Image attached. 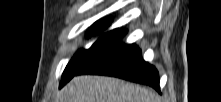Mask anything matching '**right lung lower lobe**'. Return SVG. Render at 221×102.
Segmentation results:
<instances>
[{"label": "right lung lower lobe", "mask_w": 221, "mask_h": 102, "mask_svg": "<svg viewBox=\"0 0 221 102\" xmlns=\"http://www.w3.org/2000/svg\"><path fill=\"white\" fill-rule=\"evenodd\" d=\"M122 37L75 73L63 78L60 87L75 75L100 74L146 84L159 92V75L156 68L143 60L141 50L135 44L121 43Z\"/></svg>", "instance_id": "98d812e1"}]
</instances>
